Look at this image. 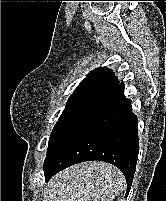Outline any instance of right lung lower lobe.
<instances>
[{
    "label": "right lung lower lobe",
    "mask_w": 166,
    "mask_h": 201,
    "mask_svg": "<svg viewBox=\"0 0 166 201\" xmlns=\"http://www.w3.org/2000/svg\"><path fill=\"white\" fill-rule=\"evenodd\" d=\"M119 84L85 122L60 146L44 166L46 182L73 164L100 160L119 168L127 181L128 196L139 153L137 117L131 100Z\"/></svg>",
    "instance_id": "obj_1"
}]
</instances>
